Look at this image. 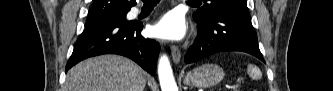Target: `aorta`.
<instances>
[{
	"label": "aorta",
	"mask_w": 333,
	"mask_h": 91,
	"mask_svg": "<svg viewBox=\"0 0 333 91\" xmlns=\"http://www.w3.org/2000/svg\"><path fill=\"white\" fill-rule=\"evenodd\" d=\"M158 75L161 91H178L169 59L165 55L160 58Z\"/></svg>",
	"instance_id": "obj_1"
}]
</instances>
